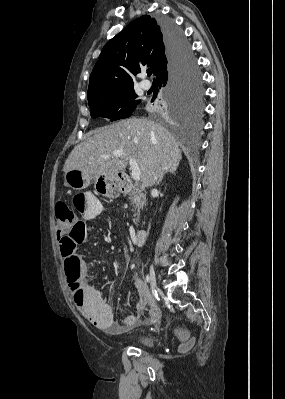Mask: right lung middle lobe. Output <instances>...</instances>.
I'll return each mask as SVG.
<instances>
[{
    "label": "right lung middle lobe",
    "instance_id": "1",
    "mask_svg": "<svg viewBox=\"0 0 285 399\" xmlns=\"http://www.w3.org/2000/svg\"><path fill=\"white\" fill-rule=\"evenodd\" d=\"M136 98L137 94L133 88L115 95L89 100L91 117H106L110 121L128 118L141 102ZM201 107L202 92L199 72L193 60L184 77L171 89L168 88L166 105L164 108H159L158 112L169 114L179 121H185L198 116Z\"/></svg>",
    "mask_w": 285,
    "mask_h": 399
}]
</instances>
